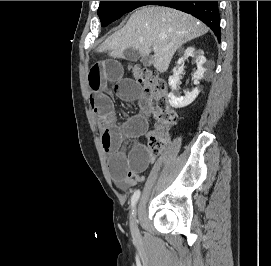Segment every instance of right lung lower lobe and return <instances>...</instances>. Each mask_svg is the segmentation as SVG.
<instances>
[{
	"instance_id": "obj_1",
	"label": "right lung lower lobe",
	"mask_w": 271,
	"mask_h": 266,
	"mask_svg": "<svg viewBox=\"0 0 271 266\" xmlns=\"http://www.w3.org/2000/svg\"><path fill=\"white\" fill-rule=\"evenodd\" d=\"M151 5L175 8L204 22L220 41V14L218 1H153Z\"/></svg>"
}]
</instances>
